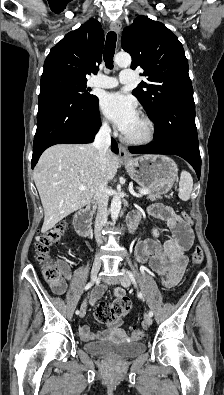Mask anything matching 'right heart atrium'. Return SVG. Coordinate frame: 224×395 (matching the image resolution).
Returning <instances> with one entry per match:
<instances>
[{"label":"right heart atrium","mask_w":224,"mask_h":395,"mask_svg":"<svg viewBox=\"0 0 224 395\" xmlns=\"http://www.w3.org/2000/svg\"><path fill=\"white\" fill-rule=\"evenodd\" d=\"M101 127L103 129H107L108 128V123H107V121L105 119L101 120Z\"/></svg>","instance_id":"1"}]
</instances>
